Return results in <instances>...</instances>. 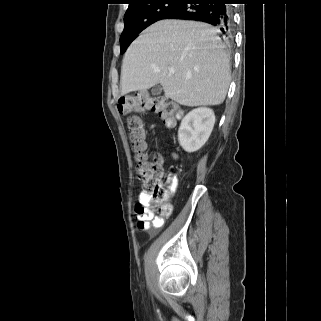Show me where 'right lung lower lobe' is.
<instances>
[{
	"label": "right lung lower lobe",
	"instance_id": "obj_1",
	"mask_svg": "<svg viewBox=\"0 0 321 321\" xmlns=\"http://www.w3.org/2000/svg\"><path fill=\"white\" fill-rule=\"evenodd\" d=\"M231 0H181L161 19L195 20L216 26L224 34L232 28ZM160 19V20H161Z\"/></svg>",
	"mask_w": 321,
	"mask_h": 321
}]
</instances>
